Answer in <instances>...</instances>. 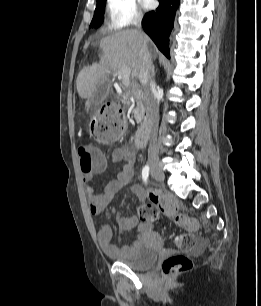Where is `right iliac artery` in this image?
<instances>
[{
    "instance_id": "right-iliac-artery-1",
    "label": "right iliac artery",
    "mask_w": 261,
    "mask_h": 306,
    "mask_svg": "<svg viewBox=\"0 0 261 306\" xmlns=\"http://www.w3.org/2000/svg\"><path fill=\"white\" fill-rule=\"evenodd\" d=\"M148 176H149V166L146 165L142 170V178L145 183H147Z\"/></svg>"
}]
</instances>
